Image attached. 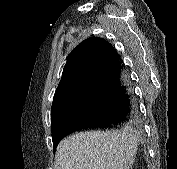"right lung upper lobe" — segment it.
<instances>
[{"mask_svg":"<svg viewBox=\"0 0 177 169\" xmlns=\"http://www.w3.org/2000/svg\"><path fill=\"white\" fill-rule=\"evenodd\" d=\"M118 56L110 43L99 37L82 41L69 55L53 104L74 92L78 87Z\"/></svg>","mask_w":177,"mask_h":169,"instance_id":"cb5924a9","label":"right lung upper lobe"}]
</instances>
